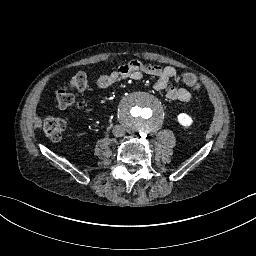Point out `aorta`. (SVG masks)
I'll return each instance as SVG.
<instances>
[{
    "label": "aorta",
    "instance_id": "aorta-1",
    "mask_svg": "<svg viewBox=\"0 0 256 256\" xmlns=\"http://www.w3.org/2000/svg\"><path fill=\"white\" fill-rule=\"evenodd\" d=\"M121 122L141 134H151L158 131L165 120L162 104L141 92L125 95L118 106Z\"/></svg>",
    "mask_w": 256,
    "mask_h": 256
}]
</instances>
